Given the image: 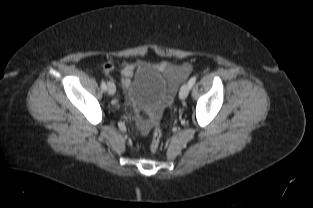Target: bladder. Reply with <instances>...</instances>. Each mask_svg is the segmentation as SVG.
Returning <instances> with one entry per match:
<instances>
[{
	"label": "bladder",
	"instance_id": "31cf9c89",
	"mask_svg": "<svg viewBox=\"0 0 313 208\" xmlns=\"http://www.w3.org/2000/svg\"><path fill=\"white\" fill-rule=\"evenodd\" d=\"M169 83L158 71L142 69L126 90V98L132 107L161 112L166 104Z\"/></svg>",
	"mask_w": 313,
	"mask_h": 208
}]
</instances>
